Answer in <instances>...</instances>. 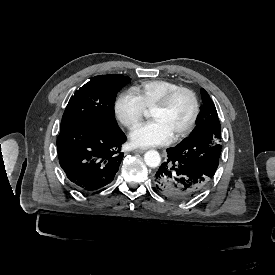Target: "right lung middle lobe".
<instances>
[{
  "label": "right lung middle lobe",
  "instance_id": "obj_1",
  "mask_svg": "<svg viewBox=\"0 0 275 275\" xmlns=\"http://www.w3.org/2000/svg\"><path fill=\"white\" fill-rule=\"evenodd\" d=\"M130 81L123 75L93 77L70 98L61 125L85 124L104 132L118 129L114 102L118 91Z\"/></svg>",
  "mask_w": 275,
  "mask_h": 275
}]
</instances>
